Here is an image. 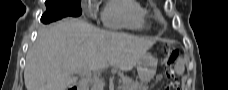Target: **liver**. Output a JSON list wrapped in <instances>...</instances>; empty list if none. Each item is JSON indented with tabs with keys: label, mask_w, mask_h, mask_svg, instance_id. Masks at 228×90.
I'll list each match as a JSON object with an SVG mask.
<instances>
[{
	"label": "liver",
	"mask_w": 228,
	"mask_h": 90,
	"mask_svg": "<svg viewBox=\"0 0 228 90\" xmlns=\"http://www.w3.org/2000/svg\"><path fill=\"white\" fill-rule=\"evenodd\" d=\"M155 39L94 27L66 18L38 32L28 50L26 90H66L74 73L117 67L131 70L155 44Z\"/></svg>",
	"instance_id": "obj_1"
}]
</instances>
